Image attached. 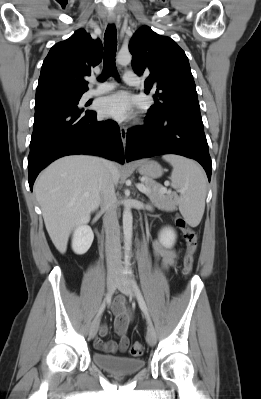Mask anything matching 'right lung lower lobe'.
<instances>
[{"label":"right lung lower lobe","mask_w":261,"mask_h":399,"mask_svg":"<svg viewBox=\"0 0 261 399\" xmlns=\"http://www.w3.org/2000/svg\"><path fill=\"white\" fill-rule=\"evenodd\" d=\"M72 154L99 155L124 163L119 126L96 121V113L63 106L35 111L28 156L29 186L32 190L40 171L52 161Z\"/></svg>","instance_id":"obj_1"}]
</instances>
